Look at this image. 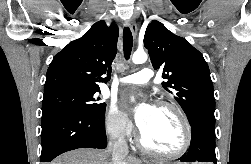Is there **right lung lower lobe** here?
<instances>
[{
  "label": "right lung lower lobe",
  "instance_id": "98d812e1",
  "mask_svg": "<svg viewBox=\"0 0 251 164\" xmlns=\"http://www.w3.org/2000/svg\"><path fill=\"white\" fill-rule=\"evenodd\" d=\"M104 113L49 110L42 115L41 162L78 148L104 149L107 145Z\"/></svg>",
  "mask_w": 251,
  "mask_h": 164
}]
</instances>
